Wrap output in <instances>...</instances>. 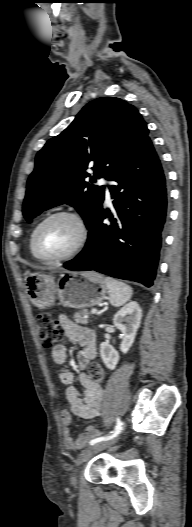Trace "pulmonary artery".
Wrapping results in <instances>:
<instances>
[{
  "label": "pulmonary artery",
  "mask_w": 192,
  "mask_h": 527,
  "mask_svg": "<svg viewBox=\"0 0 192 527\" xmlns=\"http://www.w3.org/2000/svg\"><path fill=\"white\" fill-rule=\"evenodd\" d=\"M99 183L105 187L106 201L110 202L111 201V194H110V189H109L110 181H108L106 178H101L99 180Z\"/></svg>",
  "instance_id": "obj_1"
}]
</instances>
